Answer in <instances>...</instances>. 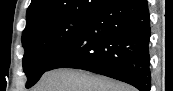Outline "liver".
Listing matches in <instances>:
<instances>
[{"mask_svg": "<svg viewBox=\"0 0 173 91\" xmlns=\"http://www.w3.org/2000/svg\"><path fill=\"white\" fill-rule=\"evenodd\" d=\"M31 91H135L128 84L83 70L59 68L45 72Z\"/></svg>", "mask_w": 173, "mask_h": 91, "instance_id": "liver-1", "label": "liver"}]
</instances>
